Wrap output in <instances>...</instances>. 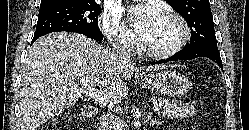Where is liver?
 I'll list each match as a JSON object with an SVG mask.
<instances>
[{
    "label": "liver",
    "instance_id": "6515ba94",
    "mask_svg": "<svg viewBox=\"0 0 249 130\" xmlns=\"http://www.w3.org/2000/svg\"><path fill=\"white\" fill-rule=\"evenodd\" d=\"M165 66L146 67L156 71ZM136 67L119 63L113 52L77 33L57 32L39 38L22 69L19 127L36 130L79 100L78 87H98L109 105L128 94Z\"/></svg>",
    "mask_w": 249,
    "mask_h": 130
}]
</instances>
